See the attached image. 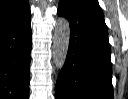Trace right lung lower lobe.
Returning <instances> with one entry per match:
<instances>
[{
    "instance_id": "1",
    "label": "right lung lower lobe",
    "mask_w": 128,
    "mask_h": 99,
    "mask_svg": "<svg viewBox=\"0 0 128 99\" xmlns=\"http://www.w3.org/2000/svg\"><path fill=\"white\" fill-rule=\"evenodd\" d=\"M30 7L0 26V99H29Z\"/></svg>"
}]
</instances>
